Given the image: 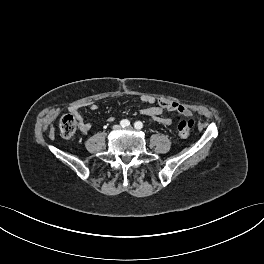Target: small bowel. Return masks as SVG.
<instances>
[{
    "label": "small bowel",
    "instance_id": "small-bowel-1",
    "mask_svg": "<svg viewBox=\"0 0 264 264\" xmlns=\"http://www.w3.org/2000/svg\"><path fill=\"white\" fill-rule=\"evenodd\" d=\"M142 101L147 104H153L155 102V99L153 97H143ZM86 106H88L92 111H96L98 109V106L95 103H89ZM180 111L186 116H190L191 112L189 109L185 108L184 106L180 105L177 102L170 101V100H162L159 102L157 106H147L140 110V113L144 116L150 117L157 122L163 124V125H170L172 123V120L167 117H163V111ZM77 118L79 120L80 124V130L82 133L86 134L90 131L92 125L89 122L84 121L83 117L76 112ZM112 118H109L111 120Z\"/></svg>",
    "mask_w": 264,
    "mask_h": 264
}]
</instances>
